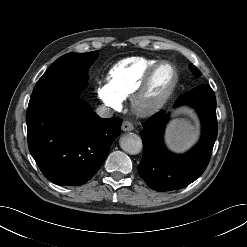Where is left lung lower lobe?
Here are the masks:
<instances>
[{"label":"left lung lower lobe","mask_w":247,"mask_h":247,"mask_svg":"<svg viewBox=\"0 0 247 247\" xmlns=\"http://www.w3.org/2000/svg\"><path fill=\"white\" fill-rule=\"evenodd\" d=\"M194 106L202 121L200 142L189 152L176 155L163 143L166 113L160 111L145 121L140 131L143 157L138 165L140 176L156 191L183 188L194 182L206 169L217 137L216 98L208 85H199L180 96L174 107Z\"/></svg>","instance_id":"left-lung-lower-lobe-1"}]
</instances>
